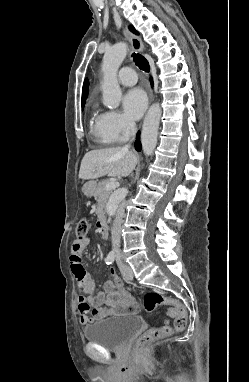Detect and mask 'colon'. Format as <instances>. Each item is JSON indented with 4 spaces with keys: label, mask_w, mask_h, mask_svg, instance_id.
I'll list each match as a JSON object with an SVG mask.
<instances>
[{
    "label": "colon",
    "mask_w": 249,
    "mask_h": 382,
    "mask_svg": "<svg viewBox=\"0 0 249 382\" xmlns=\"http://www.w3.org/2000/svg\"><path fill=\"white\" fill-rule=\"evenodd\" d=\"M89 232V223L86 219H81L76 227V239L83 241ZM159 305L169 307L168 314L175 318L174 325L168 323L160 327H155L144 332L135 344L137 354H140L144 348L151 345L162 337L171 335L175 330H182L187 323V313L185 308L176 300L165 297L159 292L148 291L144 296V308L147 312L153 311Z\"/></svg>",
    "instance_id": "5ec220e1"
}]
</instances>
